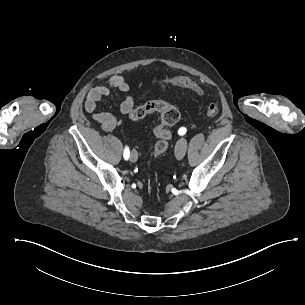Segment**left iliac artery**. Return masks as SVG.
I'll use <instances>...</instances> for the list:
<instances>
[{"mask_svg": "<svg viewBox=\"0 0 305 305\" xmlns=\"http://www.w3.org/2000/svg\"><path fill=\"white\" fill-rule=\"evenodd\" d=\"M186 128H184V127H181L180 129H179V134L180 135H183V134H185L186 133Z\"/></svg>", "mask_w": 305, "mask_h": 305, "instance_id": "1", "label": "left iliac artery"}]
</instances>
